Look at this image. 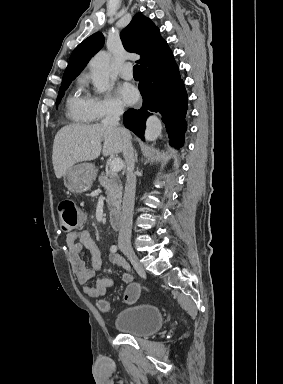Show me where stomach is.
Instances as JSON below:
<instances>
[{
  "label": "stomach",
  "mask_w": 283,
  "mask_h": 384,
  "mask_svg": "<svg viewBox=\"0 0 283 384\" xmlns=\"http://www.w3.org/2000/svg\"><path fill=\"white\" fill-rule=\"evenodd\" d=\"M64 186L73 194H83L90 190L95 178L96 170L94 164H76L65 172Z\"/></svg>",
  "instance_id": "obj_1"
}]
</instances>
